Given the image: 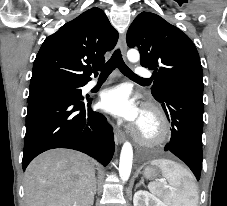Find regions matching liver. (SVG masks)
<instances>
[{
    "instance_id": "liver-1",
    "label": "liver",
    "mask_w": 227,
    "mask_h": 206,
    "mask_svg": "<svg viewBox=\"0 0 227 206\" xmlns=\"http://www.w3.org/2000/svg\"><path fill=\"white\" fill-rule=\"evenodd\" d=\"M94 166L93 159L77 151L42 153L24 175L25 206H92Z\"/></svg>"
}]
</instances>
